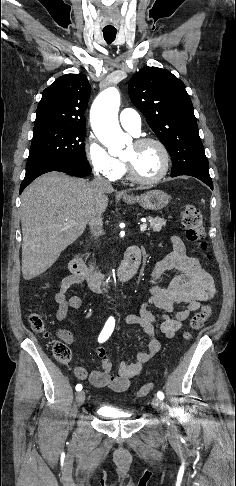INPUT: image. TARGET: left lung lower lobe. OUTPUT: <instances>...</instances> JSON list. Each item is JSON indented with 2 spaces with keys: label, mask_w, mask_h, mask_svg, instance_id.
I'll return each mask as SVG.
<instances>
[{
  "label": "left lung lower lobe",
  "mask_w": 236,
  "mask_h": 486,
  "mask_svg": "<svg viewBox=\"0 0 236 486\" xmlns=\"http://www.w3.org/2000/svg\"><path fill=\"white\" fill-rule=\"evenodd\" d=\"M180 175H189V176L196 177V178L200 179L201 181H203L205 184H207L211 189H213V183H212L211 177H205V176L195 174V173H184V174H179V175H171V177H176V176H180Z\"/></svg>",
  "instance_id": "obj_1"
}]
</instances>
